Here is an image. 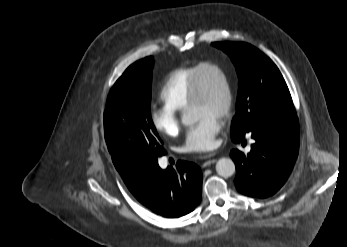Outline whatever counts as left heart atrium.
Instances as JSON below:
<instances>
[{
    "instance_id": "39dd6f15",
    "label": "left heart atrium",
    "mask_w": 347,
    "mask_h": 247,
    "mask_svg": "<svg viewBox=\"0 0 347 247\" xmlns=\"http://www.w3.org/2000/svg\"><path fill=\"white\" fill-rule=\"evenodd\" d=\"M221 129L219 117L206 115L192 125L186 133L183 150L185 152H204L215 144V137Z\"/></svg>"
}]
</instances>
